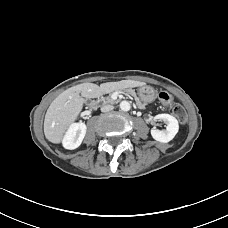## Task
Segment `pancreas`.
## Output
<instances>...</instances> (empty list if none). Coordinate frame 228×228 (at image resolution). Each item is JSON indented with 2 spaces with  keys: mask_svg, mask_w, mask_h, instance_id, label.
Segmentation results:
<instances>
[{
  "mask_svg": "<svg viewBox=\"0 0 228 228\" xmlns=\"http://www.w3.org/2000/svg\"><path fill=\"white\" fill-rule=\"evenodd\" d=\"M113 91L114 90H111L108 93V95H106L105 97H101L100 101H102L104 104H109V103L114 104L116 101L111 98L113 96V93H112ZM125 92L135 97V103L139 108L141 109L145 108L144 103H141L140 99L136 96V93L132 89H125Z\"/></svg>",
  "mask_w": 228,
  "mask_h": 228,
  "instance_id": "1",
  "label": "pancreas"
}]
</instances>
